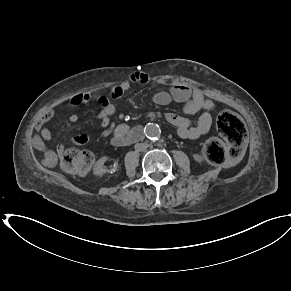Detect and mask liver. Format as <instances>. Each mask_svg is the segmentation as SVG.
I'll use <instances>...</instances> for the list:
<instances>
[{
  "label": "liver",
  "instance_id": "1",
  "mask_svg": "<svg viewBox=\"0 0 291 291\" xmlns=\"http://www.w3.org/2000/svg\"><path fill=\"white\" fill-rule=\"evenodd\" d=\"M46 161L51 162L53 159H56V155L53 151H47L45 153Z\"/></svg>",
  "mask_w": 291,
  "mask_h": 291
}]
</instances>
